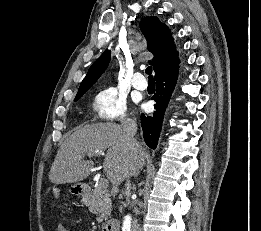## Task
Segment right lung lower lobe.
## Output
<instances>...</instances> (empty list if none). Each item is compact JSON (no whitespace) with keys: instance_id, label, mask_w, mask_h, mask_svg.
Here are the masks:
<instances>
[{"instance_id":"1","label":"right lung lower lobe","mask_w":261,"mask_h":231,"mask_svg":"<svg viewBox=\"0 0 261 231\" xmlns=\"http://www.w3.org/2000/svg\"><path fill=\"white\" fill-rule=\"evenodd\" d=\"M178 72L179 66L155 77L157 92L154 94L152 99L156 102L154 105L156 111L152 116L141 114L143 138L151 149H155L158 144L164 111L175 88Z\"/></svg>"}]
</instances>
